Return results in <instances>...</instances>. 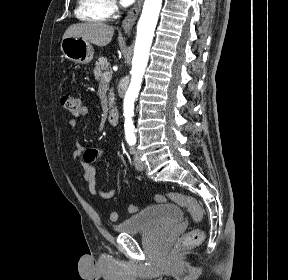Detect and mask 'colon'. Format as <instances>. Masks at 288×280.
I'll return each mask as SVG.
<instances>
[{
	"mask_svg": "<svg viewBox=\"0 0 288 280\" xmlns=\"http://www.w3.org/2000/svg\"><path fill=\"white\" fill-rule=\"evenodd\" d=\"M61 104L68 111L71 116L78 117L81 114V101L74 95L65 93L61 96ZM155 201L157 203H167L172 202L186 208L192 215L194 222L200 224L203 221L204 212L200 203L192 197L182 195L180 193H166L158 194L155 196ZM138 207L131 204L128 207L130 213L136 212ZM111 221H116L118 219V213L116 211H111L109 214ZM204 238L203 231L195 227L190 230L183 238L182 244L184 246H193L199 244Z\"/></svg>",
	"mask_w": 288,
	"mask_h": 280,
	"instance_id": "1",
	"label": "colon"
}]
</instances>
